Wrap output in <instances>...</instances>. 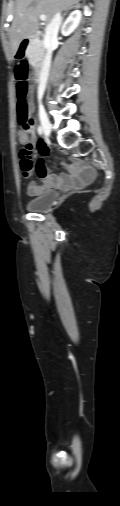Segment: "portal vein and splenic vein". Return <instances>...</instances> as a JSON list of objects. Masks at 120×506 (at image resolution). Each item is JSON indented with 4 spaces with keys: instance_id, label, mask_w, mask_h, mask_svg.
Masks as SVG:
<instances>
[{
    "instance_id": "18ae733b",
    "label": "portal vein and splenic vein",
    "mask_w": 120,
    "mask_h": 506,
    "mask_svg": "<svg viewBox=\"0 0 120 506\" xmlns=\"http://www.w3.org/2000/svg\"><path fill=\"white\" fill-rule=\"evenodd\" d=\"M39 18H40L41 21H46L47 20V17L45 15H40Z\"/></svg>"
}]
</instances>
